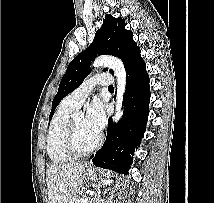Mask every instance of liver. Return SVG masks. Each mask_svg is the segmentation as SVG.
<instances>
[{
  "label": "liver",
  "instance_id": "1",
  "mask_svg": "<svg viewBox=\"0 0 214 203\" xmlns=\"http://www.w3.org/2000/svg\"><path fill=\"white\" fill-rule=\"evenodd\" d=\"M84 172V163L50 165L46 171L49 203H69L83 185Z\"/></svg>",
  "mask_w": 214,
  "mask_h": 203
}]
</instances>
